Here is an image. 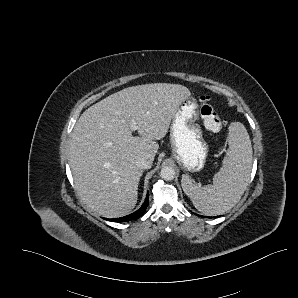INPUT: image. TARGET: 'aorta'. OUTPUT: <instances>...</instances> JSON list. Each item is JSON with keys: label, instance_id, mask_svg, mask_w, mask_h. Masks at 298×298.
Listing matches in <instances>:
<instances>
[{"label": "aorta", "instance_id": "762f6f07", "mask_svg": "<svg viewBox=\"0 0 298 298\" xmlns=\"http://www.w3.org/2000/svg\"><path fill=\"white\" fill-rule=\"evenodd\" d=\"M160 176L166 181L173 180L176 176V171L172 166H163L160 170Z\"/></svg>", "mask_w": 298, "mask_h": 298}]
</instances>
